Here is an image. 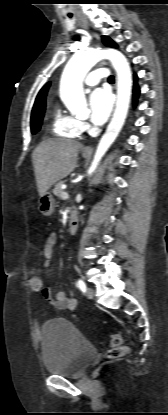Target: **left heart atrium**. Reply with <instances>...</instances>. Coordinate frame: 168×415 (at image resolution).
<instances>
[{
	"instance_id": "left-heart-atrium-1",
	"label": "left heart atrium",
	"mask_w": 168,
	"mask_h": 415,
	"mask_svg": "<svg viewBox=\"0 0 168 415\" xmlns=\"http://www.w3.org/2000/svg\"><path fill=\"white\" fill-rule=\"evenodd\" d=\"M91 122L95 125L104 124L112 110L113 100L110 92L103 88H98L90 95Z\"/></svg>"
}]
</instances>
